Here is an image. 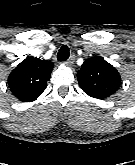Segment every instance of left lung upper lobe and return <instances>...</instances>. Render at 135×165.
Wrapping results in <instances>:
<instances>
[{"label":"left lung upper lobe","mask_w":135,"mask_h":165,"mask_svg":"<svg viewBox=\"0 0 135 165\" xmlns=\"http://www.w3.org/2000/svg\"><path fill=\"white\" fill-rule=\"evenodd\" d=\"M77 78L81 89L97 99L113 95L121 84L118 71L100 56L85 60L77 73Z\"/></svg>","instance_id":"1"}]
</instances>
